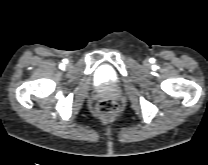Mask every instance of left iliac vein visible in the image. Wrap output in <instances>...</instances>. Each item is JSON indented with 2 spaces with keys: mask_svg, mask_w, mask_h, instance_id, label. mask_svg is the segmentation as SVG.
Masks as SVG:
<instances>
[{
  "mask_svg": "<svg viewBox=\"0 0 208 165\" xmlns=\"http://www.w3.org/2000/svg\"><path fill=\"white\" fill-rule=\"evenodd\" d=\"M144 64H145V65H147L148 63H147V62H145Z\"/></svg>",
  "mask_w": 208,
  "mask_h": 165,
  "instance_id": "obj_1",
  "label": "left iliac vein"
}]
</instances>
